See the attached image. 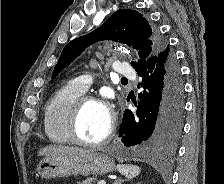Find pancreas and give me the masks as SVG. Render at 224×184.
Masks as SVG:
<instances>
[{"instance_id":"pancreas-1","label":"pancreas","mask_w":224,"mask_h":184,"mask_svg":"<svg viewBox=\"0 0 224 184\" xmlns=\"http://www.w3.org/2000/svg\"><path fill=\"white\" fill-rule=\"evenodd\" d=\"M78 184H92V180L91 179H86L82 182H79Z\"/></svg>"}]
</instances>
